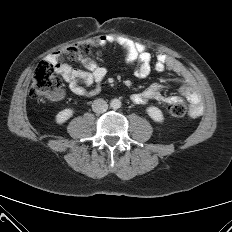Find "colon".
Instances as JSON below:
<instances>
[{"label": "colon", "instance_id": "obj_1", "mask_svg": "<svg viewBox=\"0 0 232 232\" xmlns=\"http://www.w3.org/2000/svg\"><path fill=\"white\" fill-rule=\"evenodd\" d=\"M97 43V40H84L75 43L55 55L54 60H44L38 63L33 73L31 97L40 101L58 95L61 92V81L54 73L55 63L64 59L74 61L87 58L98 52ZM167 112L172 117L181 118L187 114V107L182 102L171 103L167 105Z\"/></svg>", "mask_w": 232, "mask_h": 232}]
</instances>
